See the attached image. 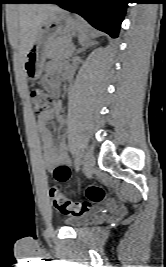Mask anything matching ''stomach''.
Returning <instances> with one entry per match:
<instances>
[{"label":"stomach","instance_id":"obj_1","mask_svg":"<svg viewBox=\"0 0 166 267\" xmlns=\"http://www.w3.org/2000/svg\"><path fill=\"white\" fill-rule=\"evenodd\" d=\"M83 23L61 10L40 25L36 40L24 58V72L28 80L35 81L42 75L48 51L54 39L78 31Z\"/></svg>","mask_w":166,"mask_h":267}]
</instances>
